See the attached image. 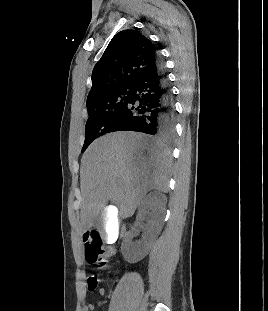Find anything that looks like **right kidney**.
Instances as JSON below:
<instances>
[{"instance_id":"1","label":"right kidney","mask_w":268,"mask_h":311,"mask_svg":"<svg viewBox=\"0 0 268 311\" xmlns=\"http://www.w3.org/2000/svg\"><path fill=\"white\" fill-rule=\"evenodd\" d=\"M167 198L164 194L154 191L145 196L138 207V215L134 227L140 226L143 231L141 240L132 242L136 231L125 234L122 252L125 260L136 263L142 260L150 251L154 241L160 234L166 214ZM146 221L145 224L140 222Z\"/></svg>"}]
</instances>
